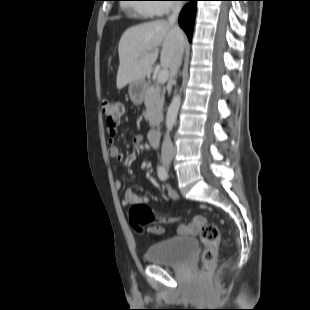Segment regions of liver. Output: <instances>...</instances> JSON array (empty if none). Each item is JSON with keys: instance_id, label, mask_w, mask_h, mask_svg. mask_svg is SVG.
<instances>
[{"instance_id": "6515ba94", "label": "liver", "mask_w": 310, "mask_h": 310, "mask_svg": "<svg viewBox=\"0 0 310 310\" xmlns=\"http://www.w3.org/2000/svg\"><path fill=\"white\" fill-rule=\"evenodd\" d=\"M179 29V28H178ZM176 26L157 20L127 29L118 44L119 68L117 88L122 89L133 81H143L157 60L162 45L160 63L170 69L178 46L184 48L185 38L179 37Z\"/></svg>"}]
</instances>
